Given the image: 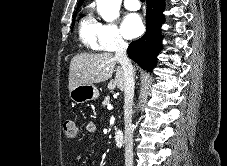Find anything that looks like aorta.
<instances>
[{"label":"aorta","instance_id":"1","mask_svg":"<svg viewBox=\"0 0 227 166\" xmlns=\"http://www.w3.org/2000/svg\"><path fill=\"white\" fill-rule=\"evenodd\" d=\"M122 0H96L97 11L103 20L112 22L119 16Z\"/></svg>","mask_w":227,"mask_h":166}]
</instances>
